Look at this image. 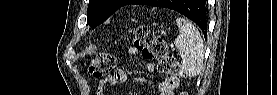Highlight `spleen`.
I'll return each instance as SVG.
<instances>
[{
    "mask_svg": "<svg viewBox=\"0 0 277 95\" xmlns=\"http://www.w3.org/2000/svg\"><path fill=\"white\" fill-rule=\"evenodd\" d=\"M179 35L174 43L181 56L184 73L189 77L197 76L203 67L204 44L199 31L183 18L175 20Z\"/></svg>",
    "mask_w": 277,
    "mask_h": 95,
    "instance_id": "3e777b00",
    "label": "spleen"
}]
</instances>
